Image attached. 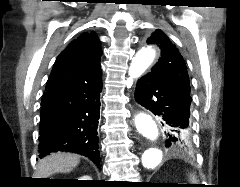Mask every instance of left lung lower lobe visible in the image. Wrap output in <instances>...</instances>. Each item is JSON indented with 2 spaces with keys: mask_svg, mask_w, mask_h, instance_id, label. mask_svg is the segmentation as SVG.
<instances>
[{
  "mask_svg": "<svg viewBox=\"0 0 240 187\" xmlns=\"http://www.w3.org/2000/svg\"><path fill=\"white\" fill-rule=\"evenodd\" d=\"M135 99L163 120L167 147L185 151L192 149L191 140L181 135V130L190 129V94L180 92L147 73L137 82Z\"/></svg>",
  "mask_w": 240,
  "mask_h": 187,
  "instance_id": "0a47b994",
  "label": "left lung lower lobe"
}]
</instances>
